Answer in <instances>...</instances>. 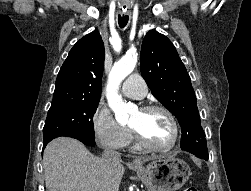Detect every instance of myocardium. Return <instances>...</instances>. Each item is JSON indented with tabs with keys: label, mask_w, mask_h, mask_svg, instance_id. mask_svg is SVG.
<instances>
[{
	"label": "myocardium",
	"mask_w": 251,
	"mask_h": 191,
	"mask_svg": "<svg viewBox=\"0 0 251 191\" xmlns=\"http://www.w3.org/2000/svg\"><path fill=\"white\" fill-rule=\"evenodd\" d=\"M156 110L164 112L172 122L173 129H174V142L170 147H168V148L154 147L146 140V138L143 136V134L138 129H136L135 127L132 126L131 127L132 131L135 135V139H136L137 143L143 149H145L149 152H154V153H161V154L171 153L179 147V144L181 141V130H180L178 120H177L176 116L174 115V113L170 109H168L167 107H165L163 105L149 104V105L143 106L141 108V111H146V112H152V111H156Z\"/></svg>",
	"instance_id": "1"
}]
</instances>
